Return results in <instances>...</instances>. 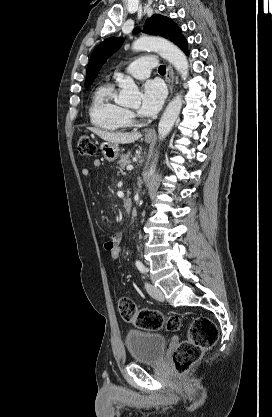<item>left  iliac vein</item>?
Returning <instances> with one entry per match:
<instances>
[{
    "label": "left iliac vein",
    "instance_id": "left-iliac-vein-1",
    "mask_svg": "<svg viewBox=\"0 0 272 417\" xmlns=\"http://www.w3.org/2000/svg\"><path fill=\"white\" fill-rule=\"evenodd\" d=\"M147 292L156 300L164 301V294L159 287H156L150 283L145 284Z\"/></svg>",
    "mask_w": 272,
    "mask_h": 417
}]
</instances>
